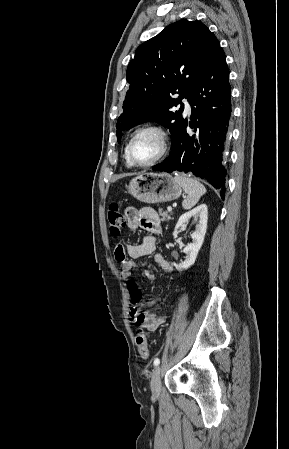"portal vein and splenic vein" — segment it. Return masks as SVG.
<instances>
[{
  "label": "portal vein and splenic vein",
  "mask_w": 289,
  "mask_h": 449,
  "mask_svg": "<svg viewBox=\"0 0 289 449\" xmlns=\"http://www.w3.org/2000/svg\"><path fill=\"white\" fill-rule=\"evenodd\" d=\"M167 210L169 211V212H171L172 211V207H167Z\"/></svg>",
  "instance_id": "portal-vein-and-splenic-vein-1"
}]
</instances>
